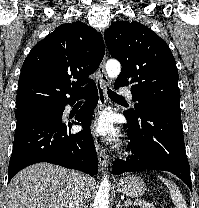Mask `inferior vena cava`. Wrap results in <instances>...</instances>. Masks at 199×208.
Masks as SVG:
<instances>
[{"label": "inferior vena cava", "instance_id": "602c4592", "mask_svg": "<svg viewBox=\"0 0 199 208\" xmlns=\"http://www.w3.org/2000/svg\"><path fill=\"white\" fill-rule=\"evenodd\" d=\"M68 208H86L84 192V175L76 173Z\"/></svg>", "mask_w": 199, "mask_h": 208}]
</instances>
